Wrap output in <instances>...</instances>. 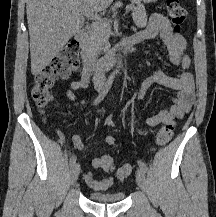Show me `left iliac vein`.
Here are the masks:
<instances>
[{"mask_svg": "<svg viewBox=\"0 0 216 217\" xmlns=\"http://www.w3.org/2000/svg\"><path fill=\"white\" fill-rule=\"evenodd\" d=\"M137 184L142 191H146V176L145 172L139 168L136 173Z\"/></svg>", "mask_w": 216, "mask_h": 217, "instance_id": "1", "label": "left iliac vein"}]
</instances>
